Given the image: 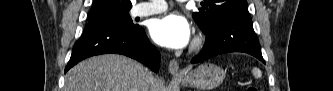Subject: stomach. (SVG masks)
Segmentation results:
<instances>
[{"mask_svg":"<svg viewBox=\"0 0 333 91\" xmlns=\"http://www.w3.org/2000/svg\"><path fill=\"white\" fill-rule=\"evenodd\" d=\"M225 78V72L217 65L205 63L180 78L185 87H194L210 91L218 87Z\"/></svg>","mask_w":333,"mask_h":91,"instance_id":"obj_1","label":"stomach"}]
</instances>
